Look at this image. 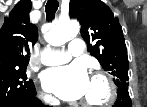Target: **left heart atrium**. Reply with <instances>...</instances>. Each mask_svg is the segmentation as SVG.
<instances>
[{"mask_svg":"<svg viewBox=\"0 0 147 107\" xmlns=\"http://www.w3.org/2000/svg\"><path fill=\"white\" fill-rule=\"evenodd\" d=\"M89 83L87 71L80 64L52 68L47 70L43 76L44 88L67 101L83 98Z\"/></svg>","mask_w":147,"mask_h":107,"instance_id":"obj_1","label":"left heart atrium"}]
</instances>
